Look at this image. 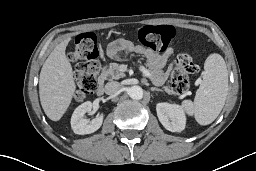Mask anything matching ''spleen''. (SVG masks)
I'll return each instance as SVG.
<instances>
[{
	"label": "spleen",
	"mask_w": 256,
	"mask_h": 171,
	"mask_svg": "<svg viewBox=\"0 0 256 171\" xmlns=\"http://www.w3.org/2000/svg\"><path fill=\"white\" fill-rule=\"evenodd\" d=\"M228 94V70L220 54H210L204 63L203 80L194 101L184 100L182 107L200 125L211 124L224 107Z\"/></svg>",
	"instance_id": "obj_1"
}]
</instances>
